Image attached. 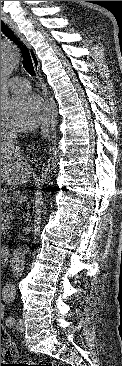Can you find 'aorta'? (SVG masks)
<instances>
[{
  "instance_id": "762f6f07",
  "label": "aorta",
  "mask_w": 122,
  "mask_h": 366,
  "mask_svg": "<svg viewBox=\"0 0 122 366\" xmlns=\"http://www.w3.org/2000/svg\"><path fill=\"white\" fill-rule=\"evenodd\" d=\"M20 62L18 52L8 43L1 44V113L10 105L8 80Z\"/></svg>"
}]
</instances>
